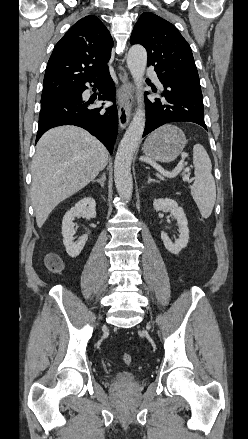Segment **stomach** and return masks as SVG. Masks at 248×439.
<instances>
[{
  "label": "stomach",
  "mask_w": 248,
  "mask_h": 439,
  "mask_svg": "<svg viewBox=\"0 0 248 439\" xmlns=\"http://www.w3.org/2000/svg\"><path fill=\"white\" fill-rule=\"evenodd\" d=\"M187 143L184 132L171 124L164 125L150 134L143 144V153L158 162L174 161Z\"/></svg>",
  "instance_id": "0dacf381"
}]
</instances>
